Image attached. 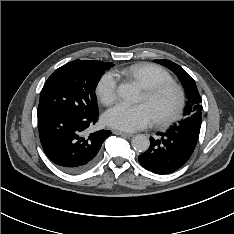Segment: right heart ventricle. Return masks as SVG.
<instances>
[{
  "mask_svg": "<svg viewBox=\"0 0 234 234\" xmlns=\"http://www.w3.org/2000/svg\"><path fill=\"white\" fill-rule=\"evenodd\" d=\"M140 84L142 88H148L161 82H172V76L162 67L151 63H138L121 71Z\"/></svg>",
  "mask_w": 234,
  "mask_h": 234,
  "instance_id": "right-heart-ventricle-1",
  "label": "right heart ventricle"
}]
</instances>
